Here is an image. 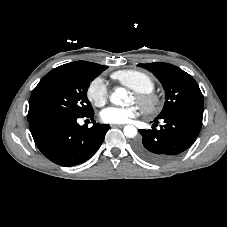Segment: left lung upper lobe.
Segmentation results:
<instances>
[{
	"instance_id": "5c2ea615",
	"label": "left lung upper lobe",
	"mask_w": 227,
	"mask_h": 227,
	"mask_svg": "<svg viewBox=\"0 0 227 227\" xmlns=\"http://www.w3.org/2000/svg\"><path fill=\"white\" fill-rule=\"evenodd\" d=\"M138 66L152 72L165 90L166 101L161 113L156 118L160 119L182 112L203 114V95L191 75L164 62L138 64Z\"/></svg>"
}]
</instances>
